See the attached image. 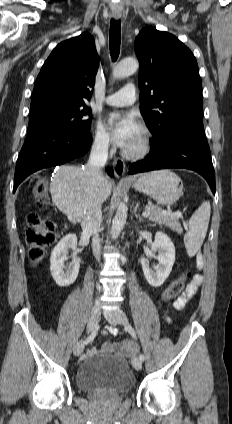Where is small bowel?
<instances>
[{"label":"small bowel","instance_id":"obj_1","mask_svg":"<svg viewBox=\"0 0 232 424\" xmlns=\"http://www.w3.org/2000/svg\"><path fill=\"white\" fill-rule=\"evenodd\" d=\"M200 283H201V276L200 275L195 276V278L193 279V281L190 283V285L187 288L186 295L180 298L179 300H177L175 303V306L177 308L184 307L186 299L193 296L197 292ZM115 333H116V330L113 327H107L103 331V336L108 337L109 335L115 334ZM135 352H136V346L134 344H133V347H129L128 350H123L118 348V342L105 340L102 343L100 349H97L95 347H91L87 349L86 356L91 357V356L97 355L98 353H104V354L118 353L121 355L128 356V355H133Z\"/></svg>","mask_w":232,"mask_h":424}]
</instances>
